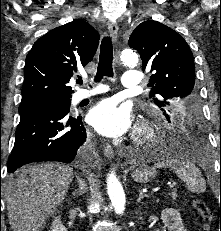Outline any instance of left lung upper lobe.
<instances>
[{
	"instance_id": "1",
	"label": "left lung upper lobe",
	"mask_w": 221,
	"mask_h": 231,
	"mask_svg": "<svg viewBox=\"0 0 221 231\" xmlns=\"http://www.w3.org/2000/svg\"><path fill=\"white\" fill-rule=\"evenodd\" d=\"M142 59V70L152 73L150 95L168 117L176 107L192 110L199 104L192 52L177 32L157 21H144L129 38Z\"/></svg>"
}]
</instances>
